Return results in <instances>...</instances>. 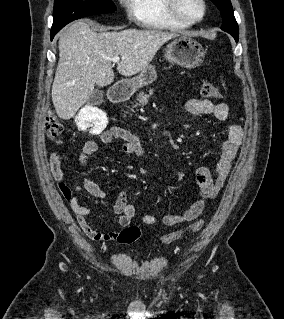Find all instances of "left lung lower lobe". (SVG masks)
Listing matches in <instances>:
<instances>
[{
    "label": "left lung lower lobe",
    "instance_id": "left-lung-lower-lobe-1",
    "mask_svg": "<svg viewBox=\"0 0 284 319\" xmlns=\"http://www.w3.org/2000/svg\"><path fill=\"white\" fill-rule=\"evenodd\" d=\"M234 39H235L236 42H238V38L237 37H234Z\"/></svg>",
    "mask_w": 284,
    "mask_h": 319
}]
</instances>
